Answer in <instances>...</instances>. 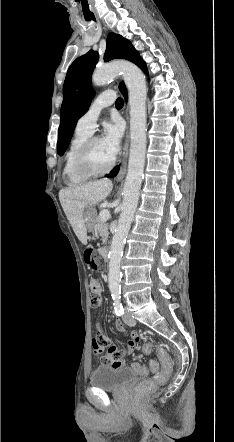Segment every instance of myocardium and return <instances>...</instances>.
Segmentation results:
<instances>
[{
  "label": "myocardium",
  "mask_w": 234,
  "mask_h": 442,
  "mask_svg": "<svg viewBox=\"0 0 234 442\" xmlns=\"http://www.w3.org/2000/svg\"><path fill=\"white\" fill-rule=\"evenodd\" d=\"M100 140L99 137H89L79 148L76 157L75 165L77 170L88 177H97L109 173L115 166L116 159L113 157L110 164L104 169H95L91 163V149L95 141Z\"/></svg>",
  "instance_id": "f54148a6"
}]
</instances>
